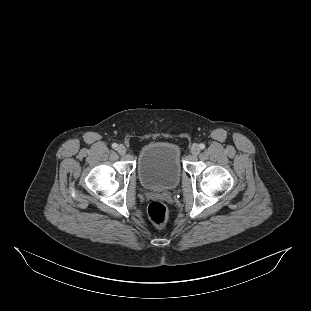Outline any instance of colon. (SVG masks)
Returning a JSON list of instances; mask_svg holds the SVG:
<instances>
[{"label": "colon", "mask_w": 311, "mask_h": 311, "mask_svg": "<svg viewBox=\"0 0 311 311\" xmlns=\"http://www.w3.org/2000/svg\"><path fill=\"white\" fill-rule=\"evenodd\" d=\"M148 214L151 221L157 226H164L169 217L167 207L158 201H154L149 205Z\"/></svg>", "instance_id": "obj_1"}]
</instances>
